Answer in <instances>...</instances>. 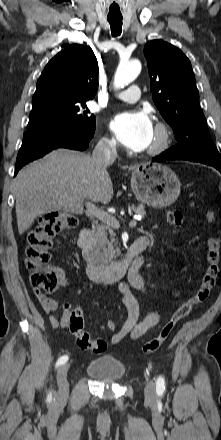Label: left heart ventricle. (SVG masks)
Masks as SVG:
<instances>
[{
  "label": "left heart ventricle",
  "instance_id": "1",
  "mask_svg": "<svg viewBox=\"0 0 221 440\" xmlns=\"http://www.w3.org/2000/svg\"><path fill=\"white\" fill-rule=\"evenodd\" d=\"M156 138H157V136H156V132H155V130L153 129V135H152V139H151V142H150L149 147L155 143Z\"/></svg>",
  "mask_w": 221,
  "mask_h": 440
}]
</instances>
